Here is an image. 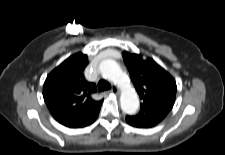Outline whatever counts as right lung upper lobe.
Here are the masks:
<instances>
[{
  "label": "right lung upper lobe",
  "mask_w": 225,
  "mask_h": 155,
  "mask_svg": "<svg viewBox=\"0 0 225 155\" xmlns=\"http://www.w3.org/2000/svg\"><path fill=\"white\" fill-rule=\"evenodd\" d=\"M87 64V55L75 54L56 67L43 86L44 101L50 113L69 128L92 124L102 105V100L95 101L91 97L96 92L95 84L84 78Z\"/></svg>",
  "instance_id": "right-lung-upper-lobe-1"
}]
</instances>
